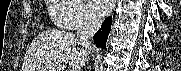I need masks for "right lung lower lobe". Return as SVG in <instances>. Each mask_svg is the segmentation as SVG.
<instances>
[{
    "label": "right lung lower lobe",
    "instance_id": "right-lung-lower-lobe-1",
    "mask_svg": "<svg viewBox=\"0 0 181 71\" xmlns=\"http://www.w3.org/2000/svg\"><path fill=\"white\" fill-rule=\"evenodd\" d=\"M112 17H107L99 31L94 35L95 44L101 48H106V41L111 30Z\"/></svg>",
    "mask_w": 181,
    "mask_h": 71
}]
</instances>
